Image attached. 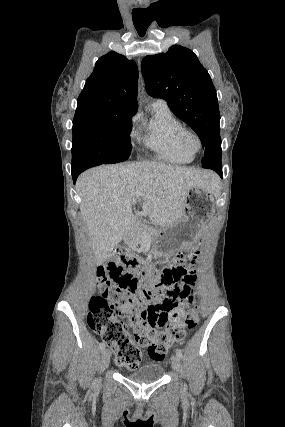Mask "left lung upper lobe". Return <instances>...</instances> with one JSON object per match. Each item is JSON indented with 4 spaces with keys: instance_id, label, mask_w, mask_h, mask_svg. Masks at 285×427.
Masks as SVG:
<instances>
[{
    "instance_id": "obj_1",
    "label": "left lung upper lobe",
    "mask_w": 285,
    "mask_h": 427,
    "mask_svg": "<svg viewBox=\"0 0 285 427\" xmlns=\"http://www.w3.org/2000/svg\"><path fill=\"white\" fill-rule=\"evenodd\" d=\"M141 70L148 94L167 101L172 112L191 126L205 149L202 166L216 171L222 154L218 100L195 53L174 45L166 53L144 57Z\"/></svg>"
}]
</instances>
